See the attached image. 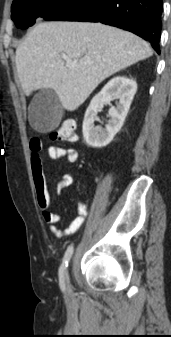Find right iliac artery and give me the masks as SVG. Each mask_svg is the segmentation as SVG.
I'll list each match as a JSON object with an SVG mask.
<instances>
[{"instance_id": "right-iliac-artery-1", "label": "right iliac artery", "mask_w": 171, "mask_h": 337, "mask_svg": "<svg viewBox=\"0 0 171 337\" xmlns=\"http://www.w3.org/2000/svg\"><path fill=\"white\" fill-rule=\"evenodd\" d=\"M73 246H69L65 252L64 258L62 265L60 267V282L63 284L64 283V273L67 275V266L69 263L70 258L72 257L73 254Z\"/></svg>"}]
</instances>
